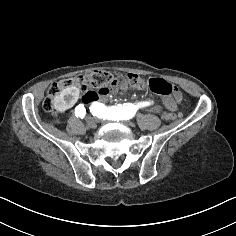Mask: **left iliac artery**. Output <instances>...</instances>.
Segmentation results:
<instances>
[{
  "label": "left iliac artery",
  "mask_w": 236,
  "mask_h": 236,
  "mask_svg": "<svg viewBox=\"0 0 236 236\" xmlns=\"http://www.w3.org/2000/svg\"><path fill=\"white\" fill-rule=\"evenodd\" d=\"M148 105H150L149 102H140L137 105L124 103L123 105L118 104V106L106 107L102 103L93 102L89 109L93 116H97L100 119L119 121L129 120L139 108Z\"/></svg>",
  "instance_id": "left-iliac-artery-1"
}]
</instances>
